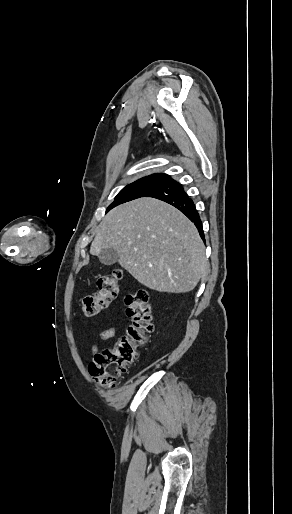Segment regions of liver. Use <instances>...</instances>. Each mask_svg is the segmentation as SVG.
Here are the masks:
<instances>
[{"label": "liver", "mask_w": 292, "mask_h": 514, "mask_svg": "<svg viewBox=\"0 0 292 514\" xmlns=\"http://www.w3.org/2000/svg\"><path fill=\"white\" fill-rule=\"evenodd\" d=\"M103 248H114L120 266L157 292H191L209 270L194 224L154 198H139L106 214L90 254L98 256Z\"/></svg>", "instance_id": "1"}]
</instances>
